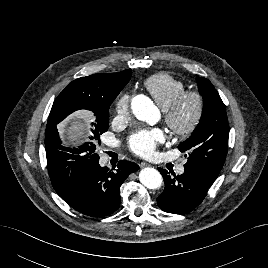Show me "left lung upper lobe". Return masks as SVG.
I'll return each instance as SVG.
<instances>
[{"label": "left lung upper lobe", "mask_w": 268, "mask_h": 268, "mask_svg": "<svg viewBox=\"0 0 268 268\" xmlns=\"http://www.w3.org/2000/svg\"><path fill=\"white\" fill-rule=\"evenodd\" d=\"M198 88L203 97L202 117L192 135L178 149L188 153L184 167L198 170L216 180L228 151L229 125L226 109L208 79L199 78Z\"/></svg>", "instance_id": "obj_1"}]
</instances>
